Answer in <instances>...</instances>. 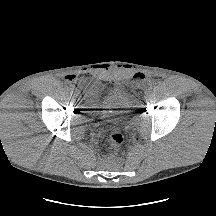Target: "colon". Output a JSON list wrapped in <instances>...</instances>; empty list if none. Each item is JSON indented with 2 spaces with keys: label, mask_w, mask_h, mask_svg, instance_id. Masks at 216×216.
Listing matches in <instances>:
<instances>
[{
  "label": "colon",
  "mask_w": 216,
  "mask_h": 216,
  "mask_svg": "<svg viewBox=\"0 0 216 216\" xmlns=\"http://www.w3.org/2000/svg\"><path fill=\"white\" fill-rule=\"evenodd\" d=\"M123 140L122 132L119 129H113L107 138V145L110 148L117 149L122 145Z\"/></svg>",
  "instance_id": "5ec220e1"
}]
</instances>
